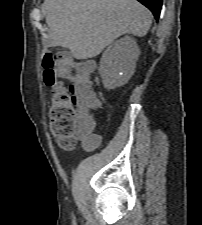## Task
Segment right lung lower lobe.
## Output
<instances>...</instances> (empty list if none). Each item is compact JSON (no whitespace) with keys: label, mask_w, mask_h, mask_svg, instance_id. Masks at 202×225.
<instances>
[{"label":"right lung lower lobe","mask_w":202,"mask_h":225,"mask_svg":"<svg viewBox=\"0 0 202 225\" xmlns=\"http://www.w3.org/2000/svg\"><path fill=\"white\" fill-rule=\"evenodd\" d=\"M138 1L152 11L156 20L159 19L162 7V0H138Z\"/></svg>","instance_id":"obj_1"}]
</instances>
